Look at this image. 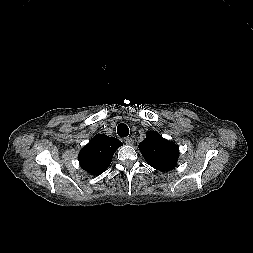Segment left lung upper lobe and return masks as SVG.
Returning a JSON list of instances; mask_svg holds the SVG:
<instances>
[{"instance_id":"5c2ea615","label":"left lung upper lobe","mask_w":253,"mask_h":253,"mask_svg":"<svg viewBox=\"0 0 253 253\" xmlns=\"http://www.w3.org/2000/svg\"><path fill=\"white\" fill-rule=\"evenodd\" d=\"M139 149L146 162L159 171H169L177 164L178 146L164 139L159 133L150 131Z\"/></svg>"}]
</instances>
